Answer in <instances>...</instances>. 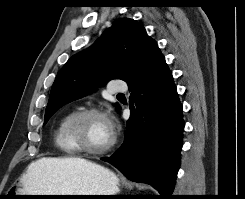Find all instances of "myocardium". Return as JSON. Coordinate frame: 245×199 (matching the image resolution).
I'll use <instances>...</instances> for the list:
<instances>
[{
    "instance_id": "obj_1",
    "label": "myocardium",
    "mask_w": 245,
    "mask_h": 199,
    "mask_svg": "<svg viewBox=\"0 0 245 199\" xmlns=\"http://www.w3.org/2000/svg\"><path fill=\"white\" fill-rule=\"evenodd\" d=\"M90 116L104 117L109 121V124L111 126L112 129L111 140L106 146L102 148H97V149L91 148L86 144H84L81 138H79L81 124L85 119H87ZM67 133L73 143L74 148L78 152H83L89 155H102L109 152L115 146L116 139H117L108 112L100 108H86L75 112L68 123Z\"/></svg>"
}]
</instances>
